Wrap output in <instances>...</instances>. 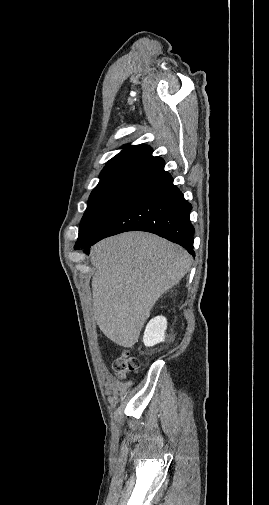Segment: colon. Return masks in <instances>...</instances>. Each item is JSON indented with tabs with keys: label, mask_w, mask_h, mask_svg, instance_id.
I'll return each instance as SVG.
<instances>
[{
	"label": "colon",
	"mask_w": 269,
	"mask_h": 505,
	"mask_svg": "<svg viewBox=\"0 0 269 505\" xmlns=\"http://www.w3.org/2000/svg\"><path fill=\"white\" fill-rule=\"evenodd\" d=\"M139 366V360L129 356L127 353H123L121 356L117 357L112 364L114 373L119 377H124L129 373L136 372Z\"/></svg>",
	"instance_id": "1"
}]
</instances>
